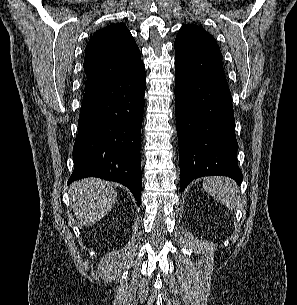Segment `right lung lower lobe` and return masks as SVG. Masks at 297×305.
Returning a JSON list of instances; mask_svg holds the SVG:
<instances>
[{
	"mask_svg": "<svg viewBox=\"0 0 297 305\" xmlns=\"http://www.w3.org/2000/svg\"><path fill=\"white\" fill-rule=\"evenodd\" d=\"M145 88L142 63L121 78L85 91L68 184L85 177L119 182L129 188L140 206Z\"/></svg>",
	"mask_w": 297,
	"mask_h": 305,
	"instance_id": "right-lung-lower-lobe-1",
	"label": "right lung lower lobe"
}]
</instances>
